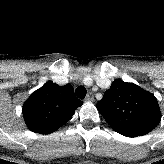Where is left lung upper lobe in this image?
Listing matches in <instances>:
<instances>
[{"mask_svg": "<svg viewBox=\"0 0 164 164\" xmlns=\"http://www.w3.org/2000/svg\"><path fill=\"white\" fill-rule=\"evenodd\" d=\"M96 107L112 129L120 134L145 135L161 119L156 97L136 84L121 79L112 83Z\"/></svg>", "mask_w": 164, "mask_h": 164, "instance_id": "left-lung-upper-lobe-1", "label": "left lung upper lobe"}]
</instances>
